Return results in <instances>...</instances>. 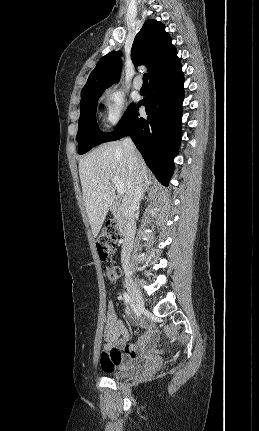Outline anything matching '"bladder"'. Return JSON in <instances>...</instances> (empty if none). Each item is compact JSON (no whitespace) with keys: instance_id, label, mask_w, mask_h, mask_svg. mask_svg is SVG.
I'll use <instances>...</instances> for the list:
<instances>
[{"instance_id":"bladder-1","label":"bladder","mask_w":259,"mask_h":431,"mask_svg":"<svg viewBox=\"0 0 259 431\" xmlns=\"http://www.w3.org/2000/svg\"><path fill=\"white\" fill-rule=\"evenodd\" d=\"M138 371H139V367L134 365V366H128V367H119L111 371H108L106 373L108 377L112 379L121 380L136 374Z\"/></svg>"}]
</instances>
